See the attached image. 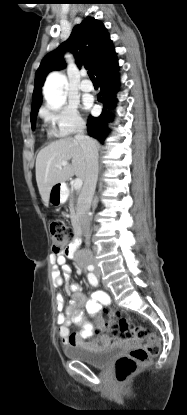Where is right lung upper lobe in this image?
Wrapping results in <instances>:
<instances>
[{
    "label": "right lung upper lobe",
    "mask_w": 187,
    "mask_h": 415,
    "mask_svg": "<svg viewBox=\"0 0 187 415\" xmlns=\"http://www.w3.org/2000/svg\"><path fill=\"white\" fill-rule=\"evenodd\" d=\"M68 49L80 68L91 69L97 75L114 57L115 50L104 25L93 17H87L80 25H76L69 39L56 50L49 53L41 62L35 75V86L32 97V111L39 109L42 100V85L47 74L66 66L63 59Z\"/></svg>",
    "instance_id": "right-lung-upper-lobe-1"
}]
</instances>
